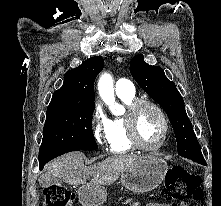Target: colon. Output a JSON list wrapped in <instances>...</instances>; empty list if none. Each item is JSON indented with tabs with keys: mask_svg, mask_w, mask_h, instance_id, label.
I'll return each mask as SVG.
<instances>
[{
	"mask_svg": "<svg viewBox=\"0 0 221 206\" xmlns=\"http://www.w3.org/2000/svg\"><path fill=\"white\" fill-rule=\"evenodd\" d=\"M203 192L198 175L181 166H173L167 172L163 197L166 200H200ZM75 193L63 185L55 184L45 190L43 206H74Z\"/></svg>",
	"mask_w": 221,
	"mask_h": 206,
	"instance_id": "1",
	"label": "colon"
}]
</instances>
